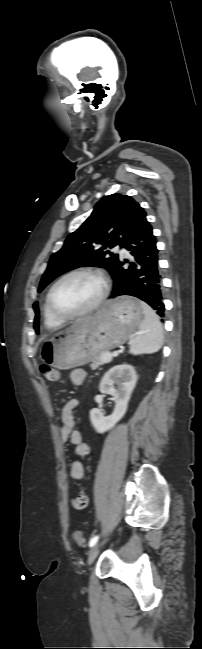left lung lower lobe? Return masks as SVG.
Returning a JSON list of instances; mask_svg holds the SVG:
<instances>
[{
    "label": "left lung lower lobe",
    "mask_w": 202,
    "mask_h": 649,
    "mask_svg": "<svg viewBox=\"0 0 202 649\" xmlns=\"http://www.w3.org/2000/svg\"><path fill=\"white\" fill-rule=\"evenodd\" d=\"M121 247L130 251L132 258L127 260L120 257L112 269L114 289L110 298L135 296L147 302L158 315L164 316L158 250L146 216L140 218L124 236ZM124 264H129V267L124 269Z\"/></svg>",
    "instance_id": "0a47b994"
}]
</instances>
